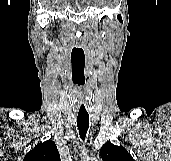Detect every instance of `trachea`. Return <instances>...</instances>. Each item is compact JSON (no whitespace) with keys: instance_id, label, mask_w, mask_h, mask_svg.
Segmentation results:
<instances>
[{"instance_id":"trachea-1","label":"trachea","mask_w":171,"mask_h":161,"mask_svg":"<svg viewBox=\"0 0 171 161\" xmlns=\"http://www.w3.org/2000/svg\"><path fill=\"white\" fill-rule=\"evenodd\" d=\"M77 126L80 138L84 141L89 128V114L87 112H79L77 116Z\"/></svg>"}]
</instances>
